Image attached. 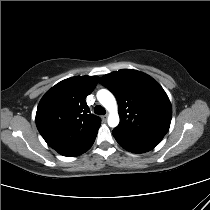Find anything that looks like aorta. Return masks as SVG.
<instances>
[{
    "label": "aorta",
    "mask_w": 210,
    "mask_h": 210,
    "mask_svg": "<svg viewBox=\"0 0 210 210\" xmlns=\"http://www.w3.org/2000/svg\"><path fill=\"white\" fill-rule=\"evenodd\" d=\"M97 99L110 113L108 116V125L112 128L116 127L120 119L114 95L109 90L101 89L97 92Z\"/></svg>",
    "instance_id": "762f6f07"
}]
</instances>
